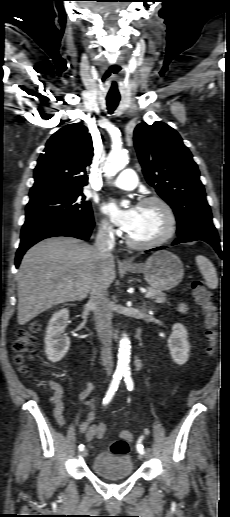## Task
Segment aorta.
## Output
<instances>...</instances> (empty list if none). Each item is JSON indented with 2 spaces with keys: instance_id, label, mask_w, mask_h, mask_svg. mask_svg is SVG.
<instances>
[{
  "instance_id": "obj_1",
  "label": "aorta",
  "mask_w": 230,
  "mask_h": 517,
  "mask_svg": "<svg viewBox=\"0 0 230 517\" xmlns=\"http://www.w3.org/2000/svg\"><path fill=\"white\" fill-rule=\"evenodd\" d=\"M129 162V156L124 150H112L106 159L104 172L107 179H111L120 170H122ZM131 354L130 340L127 335H123L120 340L118 349V363L117 369L124 371L129 369Z\"/></svg>"
}]
</instances>
